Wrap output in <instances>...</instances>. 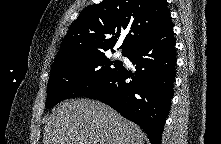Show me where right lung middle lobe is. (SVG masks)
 Wrapping results in <instances>:
<instances>
[{
  "label": "right lung middle lobe",
  "instance_id": "dd1d6c3e",
  "mask_svg": "<svg viewBox=\"0 0 221 144\" xmlns=\"http://www.w3.org/2000/svg\"><path fill=\"white\" fill-rule=\"evenodd\" d=\"M122 54L125 56V53ZM122 64L117 60L111 62L105 53H101L52 68L47 86V108L65 99L83 96L102 85L115 75Z\"/></svg>",
  "mask_w": 221,
  "mask_h": 144
}]
</instances>
